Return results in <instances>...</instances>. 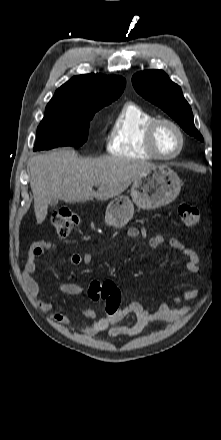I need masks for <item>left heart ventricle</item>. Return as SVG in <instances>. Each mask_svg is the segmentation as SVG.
Listing matches in <instances>:
<instances>
[{"label":"left heart ventricle","instance_id":"b2bd125f","mask_svg":"<svg viewBox=\"0 0 221 440\" xmlns=\"http://www.w3.org/2000/svg\"><path fill=\"white\" fill-rule=\"evenodd\" d=\"M155 143L162 154H172L178 149L179 136L173 127L162 124L157 130Z\"/></svg>","mask_w":221,"mask_h":440}]
</instances>
